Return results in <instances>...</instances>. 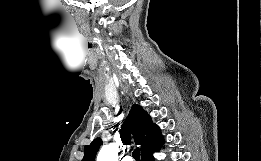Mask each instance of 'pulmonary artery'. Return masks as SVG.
<instances>
[{
	"label": "pulmonary artery",
	"instance_id": "e3ab8cb5",
	"mask_svg": "<svg viewBox=\"0 0 261 161\" xmlns=\"http://www.w3.org/2000/svg\"><path fill=\"white\" fill-rule=\"evenodd\" d=\"M122 161H133V160H132V157L125 156Z\"/></svg>",
	"mask_w": 261,
	"mask_h": 161
}]
</instances>
